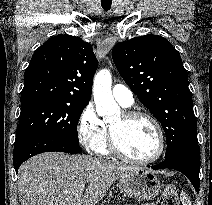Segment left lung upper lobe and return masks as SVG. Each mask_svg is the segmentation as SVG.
<instances>
[{"label":"left lung upper lobe","mask_w":212,"mask_h":205,"mask_svg":"<svg viewBox=\"0 0 212 205\" xmlns=\"http://www.w3.org/2000/svg\"><path fill=\"white\" fill-rule=\"evenodd\" d=\"M112 58L130 89L161 123L167 139L165 159L196 140L187 71L164 37L148 34L118 43Z\"/></svg>","instance_id":"obj_1"}]
</instances>
